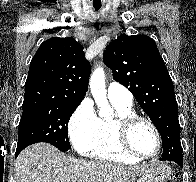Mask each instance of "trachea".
Wrapping results in <instances>:
<instances>
[{"instance_id": "1", "label": "trachea", "mask_w": 196, "mask_h": 182, "mask_svg": "<svg viewBox=\"0 0 196 182\" xmlns=\"http://www.w3.org/2000/svg\"><path fill=\"white\" fill-rule=\"evenodd\" d=\"M95 10H99L100 9V6H94Z\"/></svg>"}]
</instances>
